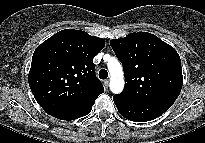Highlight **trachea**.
Returning <instances> with one entry per match:
<instances>
[{
  "label": "trachea",
  "instance_id": "trachea-1",
  "mask_svg": "<svg viewBox=\"0 0 205 143\" xmlns=\"http://www.w3.org/2000/svg\"><path fill=\"white\" fill-rule=\"evenodd\" d=\"M108 77V72L105 69H101L99 71V78L100 79H106Z\"/></svg>",
  "mask_w": 205,
  "mask_h": 143
}]
</instances>
